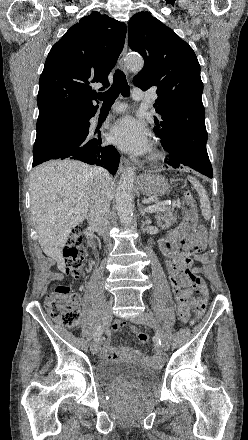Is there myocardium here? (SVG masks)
I'll use <instances>...</instances> for the list:
<instances>
[{
    "instance_id": "obj_1",
    "label": "myocardium",
    "mask_w": 248,
    "mask_h": 440,
    "mask_svg": "<svg viewBox=\"0 0 248 440\" xmlns=\"http://www.w3.org/2000/svg\"><path fill=\"white\" fill-rule=\"evenodd\" d=\"M161 158V154L157 151H153L149 156V161L151 163L157 162Z\"/></svg>"
}]
</instances>
